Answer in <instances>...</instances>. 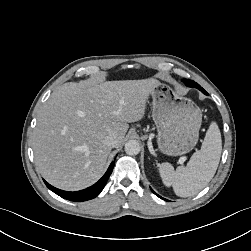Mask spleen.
<instances>
[{
	"mask_svg": "<svg viewBox=\"0 0 251 251\" xmlns=\"http://www.w3.org/2000/svg\"><path fill=\"white\" fill-rule=\"evenodd\" d=\"M222 140L218 125L212 122L200 150L196 151L186 166L174 167L170 163L159 166L160 176L166 186H172L180 197L199 193L213 178L221 156Z\"/></svg>",
	"mask_w": 251,
	"mask_h": 251,
	"instance_id": "obj_1",
	"label": "spleen"
}]
</instances>
